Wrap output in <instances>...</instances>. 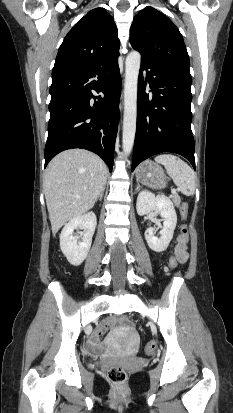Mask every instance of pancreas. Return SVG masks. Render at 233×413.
Here are the masks:
<instances>
[{"label":"pancreas","mask_w":233,"mask_h":413,"mask_svg":"<svg viewBox=\"0 0 233 413\" xmlns=\"http://www.w3.org/2000/svg\"><path fill=\"white\" fill-rule=\"evenodd\" d=\"M172 199H173V202L175 203L176 206H179V205H180L181 199H180V197H179L178 195H174V196L172 197Z\"/></svg>","instance_id":"1"}]
</instances>
